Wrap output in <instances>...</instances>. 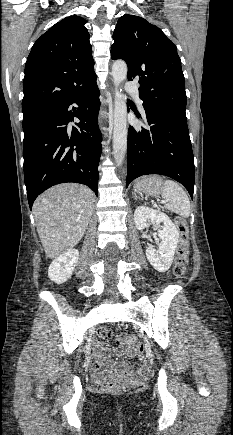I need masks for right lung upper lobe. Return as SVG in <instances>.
<instances>
[{
  "label": "right lung upper lobe",
  "instance_id": "1",
  "mask_svg": "<svg viewBox=\"0 0 233 435\" xmlns=\"http://www.w3.org/2000/svg\"><path fill=\"white\" fill-rule=\"evenodd\" d=\"M85 23L78 16L66 17L33 45L23 80L24 117L62 102L95 75Z\"/></svg>",
  "mask_w": 233,
  "mask_h": 435
}]
</instances>
